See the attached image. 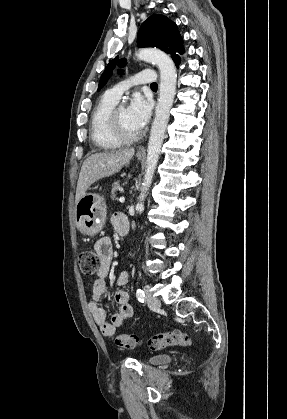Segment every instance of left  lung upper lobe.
<instances>
[{
	"instance_id": "left-lung-upper-lobe-1",
	"label": "left lung upper lobe",
	"mask_w": 287,
	"mask_h": 419,
	"mask_svg": "<svg viewBox=\"0 0 287 419\" xmlns=\"http://www.w3.org/2000/svg\"><path fill=\"white\" fill-rule=\"evenodd\" d=\"M138 46L157 47L165 51L172 56L176 66L180 64V57L177 53H184L182 38L176 24L163 15H153L142 23L138 34ZM125 61V59L119 61L117 56L108 64L100 78L98 91L112 76L117 64L124 65Z\"/></svg>"
}]
</instances>
